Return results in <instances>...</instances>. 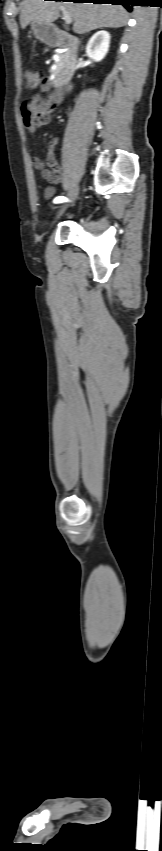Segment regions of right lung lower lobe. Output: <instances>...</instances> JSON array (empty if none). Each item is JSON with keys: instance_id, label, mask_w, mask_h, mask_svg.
Returning a JSON list of instances; mask_svg holds the SVG:
<instances>
[{"instance_id": "right-lung-lower-lobe-1", "label": "right lung lower lobe", "mask_w": 162, "mask_h": 851, "mask_svg": "<svg viewBox=\"0 0 162 851\" xmlns=\"http://www.w3.org/2000/svg\"><path fill=\"white\" fill-rule=\"evenodd\" d=\"M64 1V0H58ZM73 2H83V3H94V4H107L111 3L112 5H123L128 11L132 10L131 6H134L133 0H73Z\"/></svg>"}]
</instances>
